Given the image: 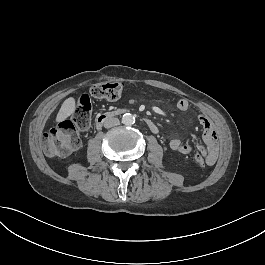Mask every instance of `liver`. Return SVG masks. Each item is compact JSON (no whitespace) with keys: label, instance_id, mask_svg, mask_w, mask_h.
<instances>
[{"label":"liver","instance_id":"1","mask_svg":"<svg viewBox=\"0 0 265 265\" xmlns=\"http://www.w3.org/2000/svg\"><path fill=\"white\" fill-rule=\"evenodd\" d=\"M76 111V100L74 97L65 99L60 109L58 110L55 123H60L70 117Z\"/></svg>","mask_w":265,"mask_h":265}]
</instances>
